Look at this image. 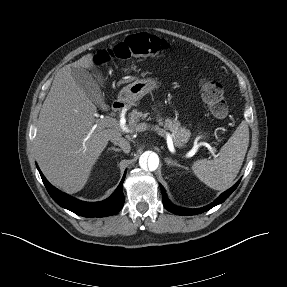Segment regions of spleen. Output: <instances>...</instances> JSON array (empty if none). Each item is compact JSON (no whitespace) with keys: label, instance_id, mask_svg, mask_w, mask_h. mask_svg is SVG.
<instances>
[{"label":"spleen","instance_id":"obj_1","mask_svg":"<svg viewBox=\"0 0 287 287\" xmlns=\"http://www.w3.org/2000/svg\"><path fill=\"white\" fill-rule=\"evenodd\" d=\"M249 145V128L242 121L229 140L222 146L218 158L200 159L193 163V173L214 190L229 188L241 169Z\"/></svg>","mask_w":287,"mask_h":287}]
</instances>
